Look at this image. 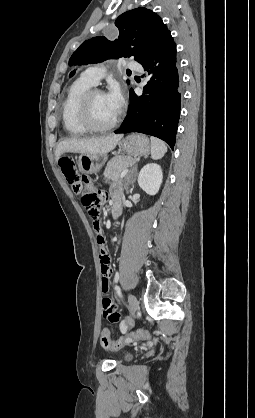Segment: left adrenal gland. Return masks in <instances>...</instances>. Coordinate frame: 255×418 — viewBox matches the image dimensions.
<instances>
[{
    "label": "left adrenal gland",
    "instance_id": "a2214340",
    "mask_svg": "<svg viewBox=\"0 0 255 418\" xmlns=\"http://www.w3.org/2000/svg\"><path fill=\"white\" fill-rule=\"evenodd\" d=\"M137 172V163L133 166V168L131 169V171H130V173H129V176H131L132 174H134V173H136ZM126 188V190H127V187H125Z\"/></svg>",
    "mask_w": 255,
    "mask_h": 418
}]
</instances>
